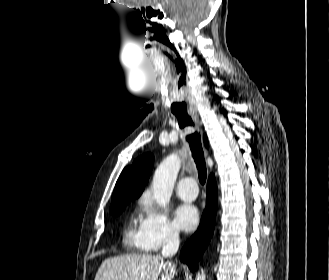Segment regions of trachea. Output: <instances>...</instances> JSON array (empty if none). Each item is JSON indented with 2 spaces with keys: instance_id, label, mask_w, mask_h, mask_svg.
<instances>
[{
  "instance_id": "trachea-1",
  "label": "trachea",
  "mask_w": 329,
  "mask_h": 280,
  "mask_svg": "<svg viewBox=\"0 0 329 280\" xmlns=\"http://www.w3.org/2000/svg\"><path fill=\"white\" fill-rule=\"evenodd\" d=\"M175 116L181 129L188 126H193V121L187 113L175 114ZM186 140L189 142L192 156L198 169L199 182L204 185L206 182L207 171L200 136L197 132H195L187 135Z\"/></svg>"
}]
</instances>
